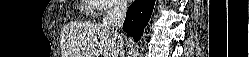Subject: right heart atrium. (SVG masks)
<instances>
[{"mask_svg": "<svg viewBox=\"0 0 249 57\" xmlns=\"http://www.w3.org/2000/svg\"><path fill=\"white\" fill-rule=\"evenodd\" d=\"M95 7L94 9L97 10L101 15L109 14L112 11L120 9L121 2L117 0H93Z\"/></svg>", "mask_w": 249, "mask_h": 57, "instance_id": "right-heart-atrium-1", "label": "right heart atrium"}]
</instances>
